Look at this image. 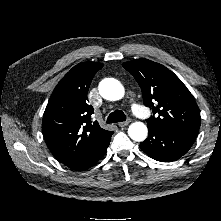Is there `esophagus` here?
I'll list each match as a JSON object with an SVG mask.
<instances>
[{
  "label": "esophagus",
  "mask_w": 221,
  "mask_h": 221,
  "mask_svg": "<svg viewBox=\"0 0 221 221\" xmlns=\"http://www.w3.org/2000/svg\"><path fill=\"white\" fill-rule=\"evenodd\" d=\"M129 123H130V120H127V121H124V122H119V123H118V126H119V127H125V126H127Z\"/></svg>",
  "instance_id": "34e87169"
}]
</instances>
